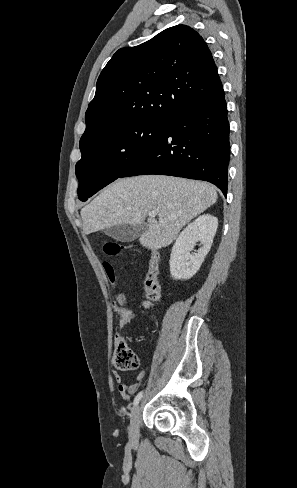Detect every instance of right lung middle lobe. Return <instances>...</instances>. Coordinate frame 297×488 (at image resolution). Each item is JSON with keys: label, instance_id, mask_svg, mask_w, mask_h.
<instances>
[{"label": "right lung middle lobe", "instance_id": "right-lung-middle-lobe-1", "mask_svg": "<svg viewBox=\"0 0 297 488\" xmlns=\"http://www.w3.org/2000/svg\"><path fill=\"white\" fill-rule=\"evenodd\" d=\"M169 120L139 121L116 129L90 143L76 164L78 197H88L119 178L159 138Z\"/></svg>", "mask_w": 297, "mask_h": 488}]
</instances>
